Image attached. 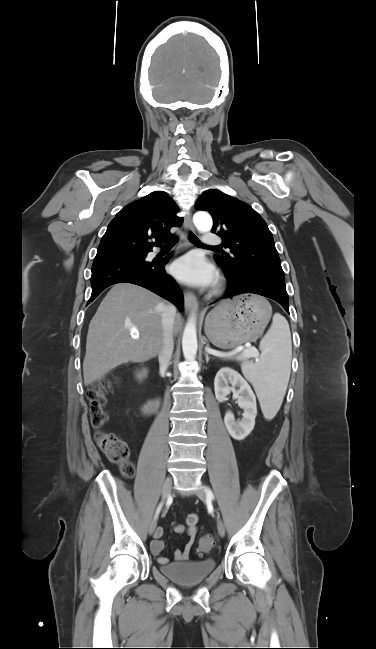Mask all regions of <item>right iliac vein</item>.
<instances>
[{"instance_id": "right-iliac-vein-1", "label": "right iliac vein", "mask_w": 376, "mask_h": 649, "mask_svg": "<svg viewBox=\"0 0 376 649\" xmlns=\"http://www.w3.org/2000/svg\"><path fill=\"white\" fill-rule=\"evenodd\" d=\"M171 488H172V479H171V477H168L165 480V482L163 484V488H162V498L163 499H166L169 496V494L171 492ZM156 526H157V520L154 518L151 521L150 526H149V530H148L150 535H152L154 533V530H155Z\"/></svg>"}]
</instances>
